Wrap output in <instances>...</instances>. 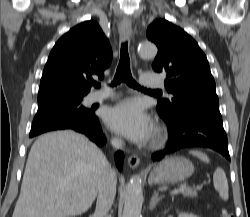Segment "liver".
<instances>
[{
  "label": "liver",
  "instance_id": "liver-1",
  "mask_svg": "<svg viewBox=\"0 0 250 217\" xmlns=\"http://www.w3.org/2000/svg\"><path fill=\"white\" fill-rule=\"evenodd\" d=\"M109 168L103 152L73 131L41 135L28 155L12 217H71L93 204Z\"/></svg>",
  "mask_w": 250,
  "mask_h": 217
}]
</instances>
